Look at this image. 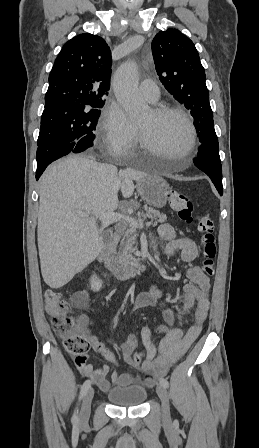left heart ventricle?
Instances as JSON below:
<instances>
[{"label": "left heart ventricle", "mask_w": 259, "mask_h": 448, "mask_svg": "<svg viewBox=\"0 0 259 448\" xmlns=\"http://www.w3.org/2000/svg\"><path fill=\"white\" fill-rule=\"evenodd\" d=\"M137 125L149 141L159 149L155 154L182 159V148L188 140L189 132L181 117L175 114L156 117L151 110Z\"/></svg>", "instance_id": "b2bd125f"}]
</instances>
